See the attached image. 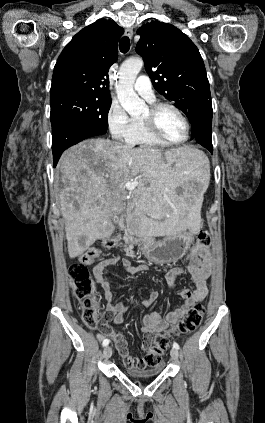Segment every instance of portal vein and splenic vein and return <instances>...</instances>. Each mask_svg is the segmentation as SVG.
<instances>
[{
  "mask_svg": "<svg viewBox=\"0 0 265 423\" xmlns=\"http://www.w3.org/2000/svg\"><path fill=\"white\" fill-rule=\"evenodd\" d=\"M137 182L136 181H130V182H127L126 184H125V188L128 190V191H132L133 189H135V187L137 186Z\"/></svg>",
  "mask_w": 265,
  "mask_h": 423,
  "instance_id": "obj_1",
  "label": "portal vein and splenic vein"
}]
</instances>
